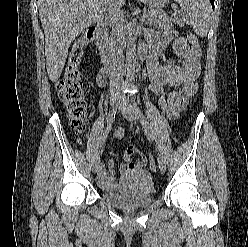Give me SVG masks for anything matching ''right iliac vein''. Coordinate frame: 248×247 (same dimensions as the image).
I'll list each match as a JSON object with an SVG mask.
<instances>
[{"label": "right iliac vein", "instance_id": "1", "mask_svg": "<svg viewBox=\"0 0 248 247\" xmlns=\"http://www.w3.org/2000/svg\"><path fill=\"white\" fill-rule=\"evenodd\" d=\"M119 102H120L119 96L112 97L110 100L111 107L115 109L118 106ZM99 164H100V155L97 154L93 160V168H92L93 173H97L99 169Z\"/></svg>", "mask_w": 248, "mask_h": 247}]
</instances>
